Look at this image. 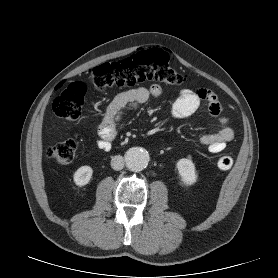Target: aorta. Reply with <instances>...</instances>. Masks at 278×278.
Here are the masks:
<instances>
[{"label":"aorta","mask_w":278,"mask_h":278,"mask_svg":"<svg viewBox=\"0 0 278 278\" xmlns=\"http://www.w3.org/2000/svg\"><path fill=\"white\" fill-rule=\"evenodd\" d=\"M125 162L131 171H142L149 162L148 152L140 147L130 148L125 154Z\"/></svg>","instance_id":"1"}]
</instances>
